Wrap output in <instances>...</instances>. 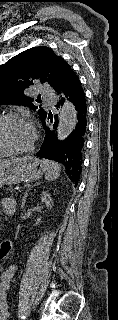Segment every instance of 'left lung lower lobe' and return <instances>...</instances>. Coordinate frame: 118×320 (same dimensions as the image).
I'll use <instances>...</instances> for the list:
<instances>
[{"mask_svg":"<svg viewBox=\"0 0 118 320\" xmlns=\"http://www.w3.org/2000/svg\"><path fill=\"white\" fill-rule=\"evenodd\" d=\"M57 93L60 96V101L57 106L63 104L65 100H69L75 106L77 111L75 128L67 138L60 141L56 133L58 124L57 115L55 116V122L50 126L47 119L52 118V115L50 113L46 114L41 119L46 134L41 148L36 155L63 164L68 177L77 184L82 169V151L87 126L85 94L81 87L80 80L74 72L71 73Z\"/></svg>","mask_w":118,"mask_h":320,"instance_id":"1","label":"left lung lower lobe"}]
</instances>
